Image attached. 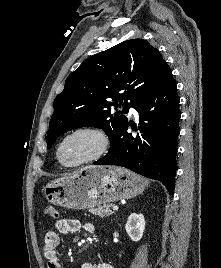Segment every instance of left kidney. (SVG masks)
<instances>
[{
    "instance_id": "1",
    "label": "left kidney",
    "mask_w": 221,
    "mask_h": 268,
    "mask_svg": "<svg viewBox=\"0 0 221 268\" xmlns=\"http://www.w3.org/2000/svg\"><path fill=\"white\" fill-rule=\"evenodd\" d=\"M125 229L131 240L139 241L145 230V219L142 214L132 213L126 222Z\"/></svg>"
}]
</instances>
